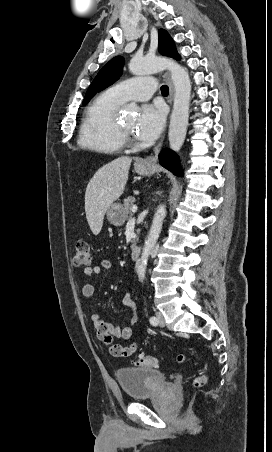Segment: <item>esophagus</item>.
I'll list each match as a JSON object with an SVG mask.
<instances>
[{"label":"esophagus","mask_w":272,"mask_h":452,"mask_svg":"<svg viewBox=\"0 0 272 452\" xmlns=\"http://www.w3.org/2000/svg\"><path fill=\"white\" fill-rule=\"evenodd\" d=\"M164 78L166 79L168 86H169V102L172 103L173 94H174V88L173 84L170 78V74L168 72L164 73ZM162 141L155 147L154 149V155L147 157L146 159L139 162L140 165H147L150 166L156 162L158 152L161 148Z\"/></svg>","instance_id":"1"}]
</instances>
